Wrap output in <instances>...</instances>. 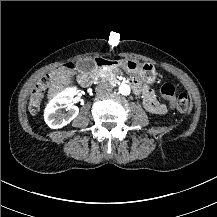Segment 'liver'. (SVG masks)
I'll return each instance as SVG.
<instances>
[{"instance_id":"6515ba94","label":"liver","mask_w":217,"mask_h":217,"mask_svg":"<svg viewBox=\"0 0 217 217\" xmlns=\"http://www.w3.org/2000/svg\"><path fill=\"white\" fill-rule=\"evenodd\" d=\"M74 71L71 69L61 68L58 75L53 79L48 90V99L53 98L64 87L72 83L71 77Z\"/></svg>"}]
</instances>
